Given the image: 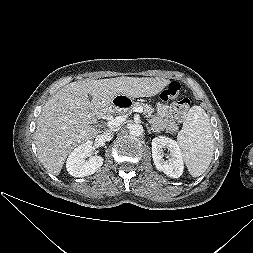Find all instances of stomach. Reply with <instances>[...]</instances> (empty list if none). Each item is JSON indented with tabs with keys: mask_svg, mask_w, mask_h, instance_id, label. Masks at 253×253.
Listing matches in <instances>:
<instances>
[{
	"mask_svg": "<svg viewBox=\"0 0 253 253\" xmlns=\"http://www.w3.org/2000/svg\"><path fill=\"white\" fill-rule=\"evenodd\" d=\"M135 107V100L127 95L118 94L111 101V108L119 114H126Z\"/></svg>",
	"mask_w": 253,
	"mask_h": 253,
	"instance_id": "obj_1",
	"label": "stomach"
}]
</instances>
